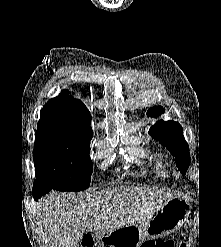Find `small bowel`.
<instances>
[{
  "label": "small bowel",
  "mask_w": 221,
  "mask_h": 247,
  "mask_svg": "<svg viewBox=\"0 0 221 247\" xmlns=\"http://www.w3.org/2000/svg\"><path fill=\"white\" fill-rule=\"evenodd\" d=\"M150 241H152V242H158V241H162V240H150Z\"/></svg>",
  "instance_id": "obj_1"
}]
</instances>
